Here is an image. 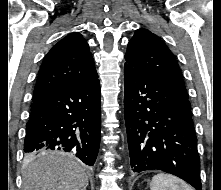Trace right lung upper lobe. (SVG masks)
<instances>
[{"label":"right lung upper lobe","mask_w":221,"mask_h":190,"mask_svg":"<svg viewBox=\"0 0 221 190\" xmlns=\"http://www.w3.org/2000/svg\"><path fill=\"white\" fill-rule=\"evenodd\" d=\"M95 74L88 43L80 33H71L54 45L44 58L33 100L67 85L91 79Z\"/></svg>","instance_id":"obj_1"}]
</instances>
